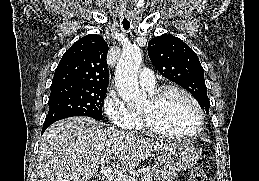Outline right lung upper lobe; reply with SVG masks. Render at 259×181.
<instances>
[{"label":"right lung upper lobe","instance_id":"obj_1","mask_svg":"<svg viewBox=\"0 0 259 181\" xmlns=\"http://www.w3.org/2000/svg\"><path fill=\"white\" fill-rule=\"evenodd\" d=\"M107 53L108 44L101 36L90 34L79 39L62 56L51 87L107 88L109 83Z\"/></svg>","mask_w":259,"mask_h":181}]
</instances>
